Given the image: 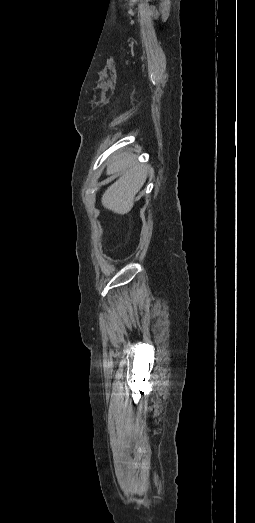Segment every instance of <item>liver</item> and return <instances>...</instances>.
<instances>
[{"instance_id": "liver-1", "label": "liver", "mask_w": 255, "mask_h": 523, "mask_svg": "<svg viewBox=\"0 0 255 523\" xmlns=\"http://www.w3.org/2000/svg\"><path fill=\"white\" fill-rule=\"evenodd\" d=\"M149 168L145 164H136L135 158H117L107 168V176L123 174L115 184L109 186L102 196V204L106 210L114 214H128L134 206V198L144 186Z\"/></svg>"}]
</instances>
